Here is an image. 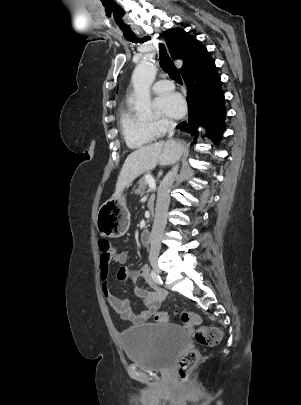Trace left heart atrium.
I'll return each mask as SVG.
<instances>
[{"mask_svg": "<svg viewBox=\"0 0 301 405\" xmlns=\"http://www.w3.org/2000/svg\"><path fill=\"white\" fill-rule=\"evenodd\" d=\"M154 104L162 115L174 119L181 118L186 111V105L182 96L174 92L159 95L155 99Z\"/></svg>", "mask_w": 301, "mask_h": 405, "instance_id": "1", "label": "left heart atrium"}]
</instances>
